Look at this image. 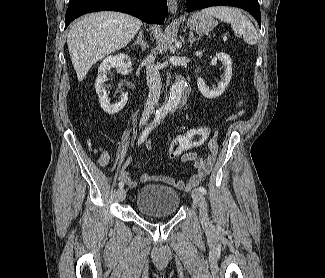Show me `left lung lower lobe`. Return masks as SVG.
Wrapping results in <instances>:
<instances>
[{
    "label": "left lung lower lobe",
    "instance_id": "1",
    "mask_svg": "<svg viewBox=\"0 0 325 278\" xmlns=\"http://www.w3.org/2000/svg\"><path fill=\"white\" fill-rule=\"evenodd\" d=\"M219 5L242 8L248 11L257 20L259 26H261V13L258 0H187L185 8L187 12H192L194 10Z\"/></svg>",
    "mask_w": 325,
    "mask_h": 278
}]
</instances>
